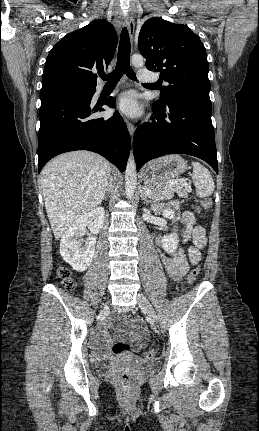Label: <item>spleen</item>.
Returning <instances> with one entry per match:
<instances>
[{
	"instance_id": "3e777b00",
	"label": "spleen",
	"mask_w": 259,
	"mask_h": 431,
	"mask_svg": "<svg viewBox=\"0 0 259 431\" xmlns=\"http://www.w3.org/2000/svg\"><path fill=\"white\" fill-rule=\"evenodd\" d=\"M193 181L196 188V194L200 198L210 196L214 189L215 184L212 176L207 168L201 163L193 161Z\"/></svg>"
}]
</instances>
